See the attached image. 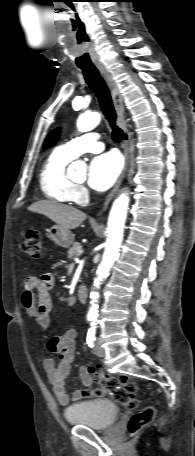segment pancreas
Listing matches in <instances>:
<instances>
[{
  "label": "pancreas",
  "mask_w": 195,
  "mask_h": 456,
  "mask_svg": "<svg viewBox=\"0 0 195 456\" xmlns=\"http://www.w3.org/2000/svg\"><path fill=\"white\" fill-rule=\"evenodd\" d=\"M81 246L79 243H73L72 247L68 250V258H74L77 255V248Z\"/></svg>",
  "instance_id": "pancreas-1"
}]
</instances>
